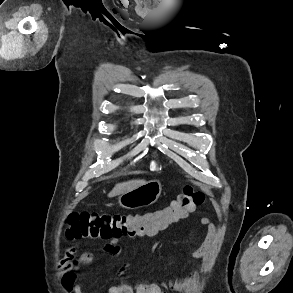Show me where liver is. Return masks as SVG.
I'll list each match as a JSON object with an SVG mask.
<instances>
[{"mask_svg":"<svg viewBox=\"0 0 293 293\" xmlns=\"http://www.w3.org/2000/svg\"><path fill=\"white\" fill-rule=\"evenodd\" d=\"M144 180H130L127 182L118 183L115 185L113 190L108 194V197H115L118 195H121L125 192H128L130 190H133L140 185L144 184Z\"/></svg>","mask_w":293,"mask_h":293,"instance_id":"obj_1","label":"liver"}]
</instances>
